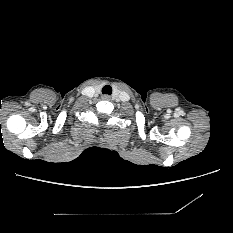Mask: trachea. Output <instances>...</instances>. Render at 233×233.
<instances>
[{"label":"trachea","mask_w":233,"mask_h":233,"mask_svg":"<svg viewBox=\"0 0 233 233\" xmlns=\"http://www.w3.org/2000/svg\"><path fill=\"white\" fill-rule=\"evenodd\" d=\"M112 93V88L109 85H106L102 88V94H111Z\"/></svg>","instance_id":"1"}]
</instances>
